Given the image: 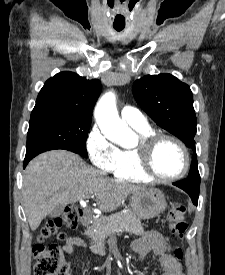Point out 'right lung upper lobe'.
I'll list each match as a JSON object with an SVG mask.
<instances>
[{"label": "right lung upper lobe", "instance_id": "1", "mask_svg": "<svg viewBox=\"0 0 225 275\" xmlns=\"http://www.w3.org/2000/svg\"><path fill=\"white\" fill-rule=\"evenodd\" d=\"M101 90L97 79L87 80L73 72H60L44 84L31 118L68 116L91 119Z\"/></svg>", "mask_w": 225, "mask_h": 275}]
</instances>
